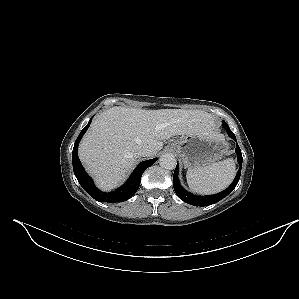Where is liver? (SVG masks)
<instances>
[{
	"instance_id": "obj_1",
	"label": "liver",
	"mask_w": 299,
	"mask_h": 299,
	"mask_svg": "<svg viewBox=\"0 0 299 299\" xmlns=\"http://www.w3.org/2000/svg\"><path fill=\"white\" fill-rule=\"evenodd\" d=\"M213 125L214 118L200 110L112 107L92 122L79 157L97 186L107 191L122 182L140 149H150L152 157L163 148V140L211 131Z\"/></svg>"
}]
</instances>
